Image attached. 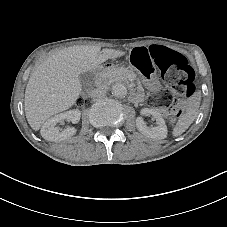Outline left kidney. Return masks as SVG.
Returning a JSON list of instances; mask_svg holds the SVG:
<instances>
[{
    "mask_svg": "<svg viewBox=\"0 0 227 227\" xmlns=\"http://www.w3.org/2000/svg\"><path fill=\"white\" fill-rule=\"evenodd\" d=\"M140 113L141 115H152L156 120L157 126L148 127L142 117H137L136 127L139 132L147 137L157 140L165 139L167 137V126L159 112L154 109L143 108L141 109Z\"/></svg>",
    "mask_w": 227,
    "mask_h": 227,
    "instance_id": "left-kidney-1",
    "label": "left kidney"
}]
</instances>
